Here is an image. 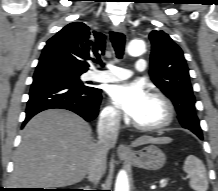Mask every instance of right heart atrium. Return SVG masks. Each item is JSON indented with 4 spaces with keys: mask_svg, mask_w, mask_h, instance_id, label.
Listing matches in <instances>:
<instances>
[{
    "mask_svg": "<svg viewBox=\"0 0 218 191\" xmlns=\"http://www.w3.org/2000/svg\"><path fill=\"white\" fill-rule=\"evenodd\" d=\"M102 120L107 125L115 126L121 121V114L117 108L114 106H106L101 114Z\"/></svg>",
    "mask_w": 218,
    "mask_h": 191,
    "instance_id": "1",
    "label": "right heart atrium"
}]
</instances>
